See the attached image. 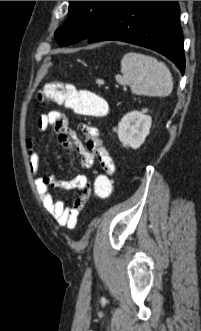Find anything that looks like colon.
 <instances>
[{"label": "colon", "mask_w": 201, "mask_h": 331, "mask_svg": "<svg viewBox=\"0 0 201 331\" xmlns=\"http://www.w3.org/2000/svg\"><path fill=\"white\" fill-rule=\"evenodd\" d=\"M41 100H49L63 105L74 112L87 117H102L107 113L106 101L99 95L80 90L72 84L63 82L47 83L39 94ZM113 183L110 176L100 173L96 176L93 186V196L99 200L111 196Z\"/></svg>", "instance_id": "obj_1"}]
</instances>
